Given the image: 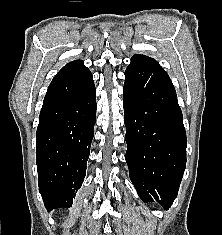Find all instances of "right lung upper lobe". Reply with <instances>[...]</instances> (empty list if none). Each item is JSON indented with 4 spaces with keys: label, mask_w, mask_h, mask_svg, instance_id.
I'll use <instances>...</instances> for the list:
<instances>
[{
    "label": "right lung upper lobe",
    "mask_w": 222,
    "mask_h": 235,
    "mask_svg": "<svg viewBox=\"0 0 222 235\" xmlns=\"http://www.w3.org/2000/svg\"><path fill=\"white\" fill-rule=\"evenodd\" d=\"M87 69L88 68L84 66V62L82 60H74L72 62L67 63L54 77V79L64 74H74Z\"/></svg>",
    "instance_id": "cb5924a9"
}]
</instances>
